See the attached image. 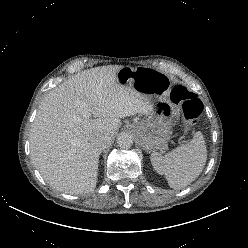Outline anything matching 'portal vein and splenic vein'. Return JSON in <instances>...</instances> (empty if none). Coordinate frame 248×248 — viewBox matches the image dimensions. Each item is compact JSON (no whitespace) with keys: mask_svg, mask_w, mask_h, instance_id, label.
Instances as JSON below:
<instances>
[{"mask_svg":"<svg viewBox=\"0 0 248 248\" xmlns=\"http://www.w3.org/2000/svg\"><path fill=\"white\" fill-rule=\"evenodd\" d=\"M84 112H85L86 115L89 113L87 108L84 109Z\"/></svg>","mask_w":248,"mask_h":248,"instance_id":"1","label":"portal vein and splenic vein"}]
</instances>
